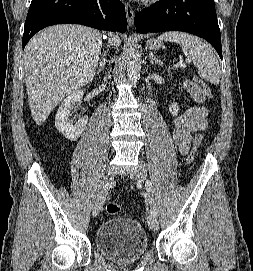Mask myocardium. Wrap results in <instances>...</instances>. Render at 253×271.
<instances>
[{
	"mask_svg": "<svg viewBox=\"0 0 253 271\" xmlns=\"http://www.w3.org/2000/svg\"><path fill=\"white\" fill-rule=\"evenodd\" d=\"M152 2H158V1H160V0H151Z\"/></svg>",
	"mask_w": 253,
	"mask_h": 271,
	"instance_id": "1",
	"label": "myocardium"
}]
</instances>
